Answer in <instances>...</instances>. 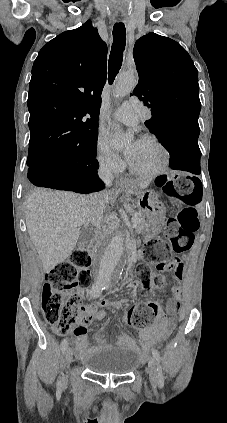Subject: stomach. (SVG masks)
<instances>
[{
    "label": "stomach",
    "instance_id": "0dacf381",
    "mask_svg": "<svg viewBox=\"0 0 227 423\" xmlns=\"http://www.w3.org/2000/svg\"><path fill=\"white\" fill-rule=\"evenodd\" d=\"M118 190H128L130 194H135L136 196V208L139 211H143V213H148V211L152 210L153 204L156 200V194L153 190H144V192H136V184L134 182H130V184H125V186H121Z\"/></svg>",
    "mask_w": 227,
    "mask_h": 423
}]
</instances>
